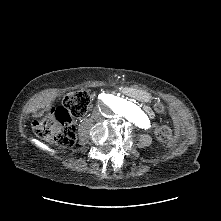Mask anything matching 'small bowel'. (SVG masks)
<instances>
[{
	"label": "small bowel",
	"instance_id": "obj_1",
	"mask_svg": "<svg viewBox=\"0 0 221 221\" xmlns=\"http://www.w3.org/2000/svg\"><path fill=\"white\" fill-rule=\"evenodd\" d=\"M102 98H104V96H100ZM146 113L149 117H151V112L149 109H146ZM176 118V126H177V130L180 131L182 128V122L177 118V116L175 115Z\"/></svg>",
	"mask_w": 221,
	"mask_h": 221
}]
</instances>
